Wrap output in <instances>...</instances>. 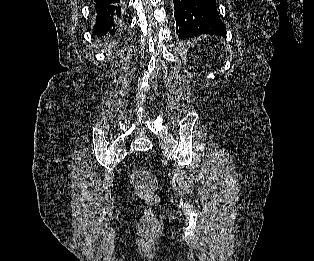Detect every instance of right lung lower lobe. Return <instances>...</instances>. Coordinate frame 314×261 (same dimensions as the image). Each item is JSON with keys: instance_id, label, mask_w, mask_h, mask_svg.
Listing matches in <instances>:
<instances>
[{"instance_id": "98d812e1", "label": "right lung lower lobe", "mask_w": 314, "mask_h": 261, "mask_svg": "<svg viewBox=\"0 0 314 261\" xmlns=\"http://www.w3.org/2000/svg\"><path fill=\"white\" fill-rule=\"evenodd\" d=\"M96 23L93 27V34L98 37L107 35L113 36L119 29L121 18L120 0H94Z\"/></svg>"}]
</instances>
